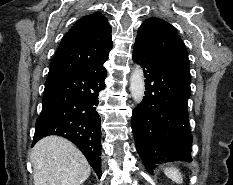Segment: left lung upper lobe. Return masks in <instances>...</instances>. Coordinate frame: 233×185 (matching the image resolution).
Listing matches in <instances>:
<instances>
[{
  "instance_id": "left-lung-upper-lobe-1",
  "label": "left lung upper lobe",
  "mask_w": 233,
  "mask_h": 185,
  "mask_svg": "<svg viewBox=\"0 0 233 185\" xmlns=\"http://www.w3.org/2000/svg\"><path fill=\"white\" fill-rule=\"evenodd\" d=\"M135 43L143 49L189 66L187 49L176 29L159 18H149L139 27Z\"/></svg>"
}]
</instances>
